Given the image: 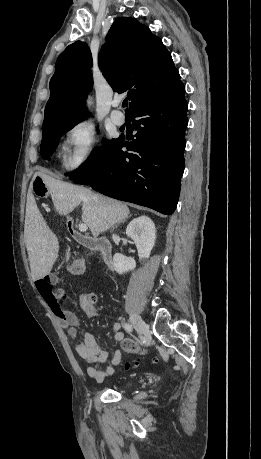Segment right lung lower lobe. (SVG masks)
<instances>
[{"mask_svg":"<svg viewBox=\"0 0 261 459\" xmlns=\"http://www.w3.org/2000/svg\"><path fill=\"white\" fill-rule=\"evenodd\" d=\"M184 95L185 87L180 82L167 94L133 108L130 115L136 139L124 142L119 137L103 163L74 182L89 184L118 200L172 214L184 171L188 124Z\"/></svg>","mask_w":261,"mask_h":459,"instance_id":"1","label":"right lung lower lobe"}]
</instances>
